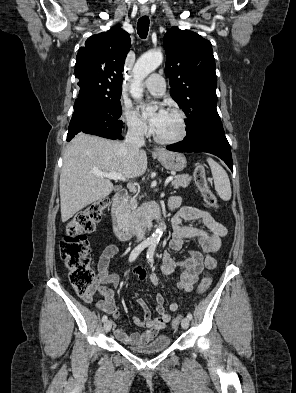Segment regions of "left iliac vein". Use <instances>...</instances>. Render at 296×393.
I'll return each mask as SVG.
<instances>
[{
  "label": "left iliac vein",
  "mask_w": 296,
  "mask_h": 393,
  "mask_svg": "<svg viewBox=\"0 0 296 393\" xmlns=\"http://www.w3.org/2000/svg\"><path fill=\"white\" fill-rule=\"evenodd\" d=\"M181 326L183 329H187L189 327V319L187 317L182 319Z\"/></svg>",
  "instance_id": "1"
}]
</instances>
